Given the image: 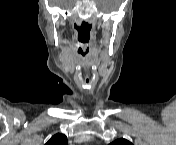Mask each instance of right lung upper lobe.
<instances>
[{"mask_svg":"<svg viewBox=\"0 0 176 145\" xmlns=\"http://www.w3.org/2000/svg\"><path fill=\"white\" fill-rule=\"evenodd\" d=\"M46 145H67V137L64 134L57 133L51 137Z\"/></svg>","mask_w":176,"mask_h":145,"instance_id":"right-lung-upper-lobe-1","label":"right lung upper lobe"}]
</instances>
